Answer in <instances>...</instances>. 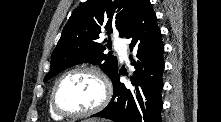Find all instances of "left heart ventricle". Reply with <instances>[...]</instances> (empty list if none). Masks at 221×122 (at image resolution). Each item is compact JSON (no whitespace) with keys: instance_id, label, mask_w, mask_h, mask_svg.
<instances>
[{"instance_id":"1","label":"left heart ventricle","mask_w":221,"mask_h":122,"mask_svg":"<svg viewBox=\"0 0 221 122\" xmlns=\"http://www.w3.org/2000/svg\"><path fill=\"white\" fill-rule=\"evenodd\" d=\"M100 81L88 73H77L65 78L57 90V103L70 112H81L94 107L101 100Z\"/></svg>"}]
</instances>
